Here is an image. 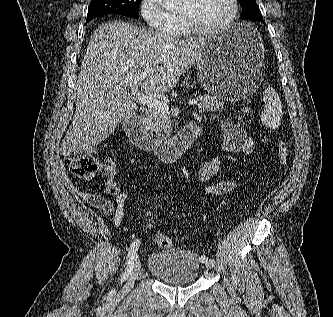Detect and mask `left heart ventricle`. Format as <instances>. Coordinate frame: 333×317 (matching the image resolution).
Returning a JSON list of instances; mask_svg holds the SVG:
<instances>
[{
	"label": "left heart ventricle",
	"instance_id": "left-heart-ventricle-1",
	"mask_svg": "<svg viewBox=\"0 0 333 317\" xmlns=\"http://www.w3.org/2000/svg\"><path fill=\"white\" fill-rule=\"evenodd\" d=\"M231 9L230 0H183L179 13L189 14L200 26L210 27L223 22Z\"/></svg>",
	"mask_w": 333,
	"mask_h": 317
}]
</instances>
